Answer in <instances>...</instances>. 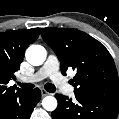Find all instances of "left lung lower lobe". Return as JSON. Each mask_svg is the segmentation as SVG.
<instances>
[{"label":"left lung lower lobe","instance_id":"obj_1","mask_svg":"<svg viewBox=\"0 0 119 119\" xmlns=\"http://www.w3.org/2000/svg\"><path fill=\"white\" fill-rule=\"evenodd\" d=\"M58 106L52 112V119H117L119 103L87 97L75 93L71 100L62 94L55 95Z\"/></svg>","mask_w":119,"mask_h":119}]
</instances>
